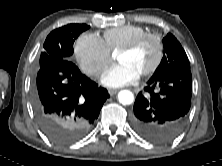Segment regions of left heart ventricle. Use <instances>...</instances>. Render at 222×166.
Segmentation results:
<instances>
[{
    "label": "left heart ventricle",
    "mask_w": 222,
    "mask_h": 166,
    "mask_svg": "<svg viewBox=\"0 0 222 166\" xmlns=\"http://www.w3.org/2000/svg\"><path fill=\"white\" fill-rule=\"evenodd\" d=\"M156 44L153 40H145L137 49L129 53H117L116 59L126 63L139 74L147 70L155 60Z\"/></svg>",
    "instance_id": "b2bd125f"
}]
</instances>
